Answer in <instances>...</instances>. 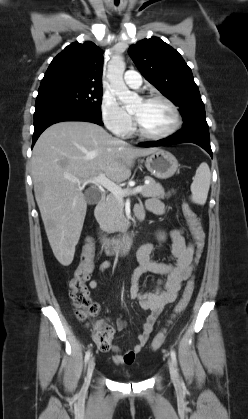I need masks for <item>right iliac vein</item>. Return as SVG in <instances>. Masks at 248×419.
Returning <instances> with one entry per match:
<instances>
[{"label":"right iliac vein","instance_id":"right-iliac-vein-1","mask_svg":"<svg viewBox=\"0 0 248 419\" xmlns=\"http://www.w3.org/2000/svg\"><path fill=\"white\" fill-rule=\"evenodd\" d=\"M94 368H95V361H94V358H91L88 362L87 376H86L85 383L83 385V390L86 389L87 386L89 385L90 380H91L92 375H93Z\"/></svg>","mask_w":248,"mask_h":419}]
</instances>
